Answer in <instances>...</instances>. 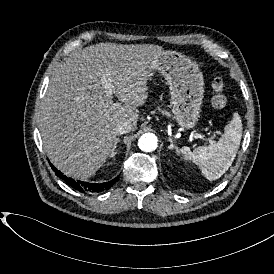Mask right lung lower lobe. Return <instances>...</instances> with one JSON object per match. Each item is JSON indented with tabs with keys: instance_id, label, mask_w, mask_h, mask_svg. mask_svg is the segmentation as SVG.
I'll return each mask as SVG.
<instances>
[{
	"instance_id": "right-lung-lower-lobe-1",
	"label": "right lung lower lobe",
	"mask_w": 274,
	"mask_h": 274,
	"mask_svg": "<svg viewBox=\"0 0 274 274\" xmlns=\"http://www.w3.org/2000/svg\"><path fill=\"white\" fill-rule=\"evenodd\" d=\"M50 165L58 177H60L67 184H69L71 187H73L74 189H76L80 192H97V193L102 192L104 190L110 189L113 186V184H115L116 181L118 180V178H115L112 181L104 182L101 184L76 181L72 178H68L67 176L63 175V173L58 171L52 164H50Z\"/></svg>"
}]
</instances>
